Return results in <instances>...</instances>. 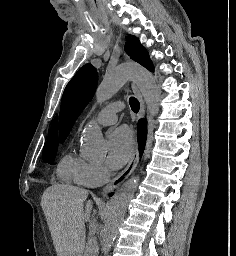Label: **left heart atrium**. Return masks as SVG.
Segmentation results:
<instances>
[{"label": "left heart atrium", "mask_w": 236, "mask_h": 256, "mask_svg": "<svg viewBox=\"0 0 236 256\" xmlns=\"http://www.w3.org/2000/svg\"><path fill=\"white\" fill-rule=\"evenodd\" d=\"M134 137L128 127H119L108 137L107 163L112 169L121 168L132 156Z\"/></svg>", "instance_id": "1"}]
</instances>
